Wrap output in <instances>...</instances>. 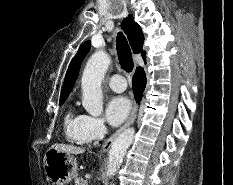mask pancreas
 I'll use <instances>...</instances> for the list:
<instances>
[{"label":"pancreas","instance_id":"obj_1","mask_svg":"<svg viewBox=\"0 0 233 185\" xmlns=\"http://www.w3.org/2000/svg\"><path fill=\"white\" fill-rule=\"evenodd\" d=\"M74 185H88V184H87L86 180H84L83 178L78 177V178L75 179V184Z\"/></svg>","mask_w":233,"mask_h":185}]
</instances>
